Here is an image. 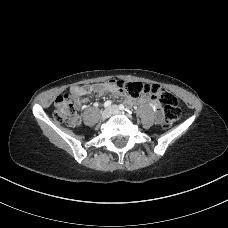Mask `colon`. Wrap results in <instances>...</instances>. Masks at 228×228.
Returning a JSON list of instances; mask_svg holds the SVG:
<instances>
[{"instance_id":"obj_1","label":"colon","mask_w":228,"mask_h":228,"mask_svg":"<svg viewBox=\"0 0 228 228\" xmlns=\"http://www.w3.org/2000/svg\"><path fill=\"white\" fill-rule=\"evenodd\" d=\"M116 87L133 98L150 97L157 100L164 109L163 125L166 128L172 126L181 116V108L176 96L158 85L142 82L116 81ZM53 116L58 122H66L74 119L75 107L68 93L56 98Z\"/></svg>"}]
</instances>
